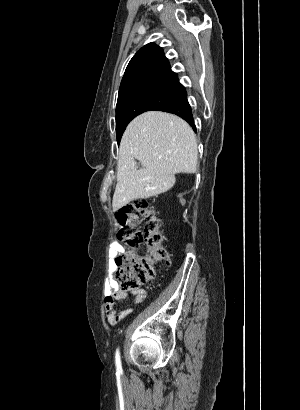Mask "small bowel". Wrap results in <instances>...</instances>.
Segmentation results:
<instances>
[{
	"instance_id": "obj_1",
	"label": "small bowel",
	"mask_w": 300,
	"mask_h": 410,
	"mask_svg": "<svg viewBox=\"0 0 300 410\" xmlns=\"http://www.w3.org/2000/svg\"><path fill=\"white\" fill-rule=\"evenodd\" d=\"M122 253H128L124 246L116 241L110 244V262L109 269L114 270L117 267L115 257ZM129 295H132V303L138 304L142 302L146 296V290L143 288H137L132 292L122 291L116 288V284L111 278H107L105 281V312L108 322L111 325H116L123 319H125L132 312L130 307H117L116 302L125 299Z\"/></svg>"
}]
</instances>
